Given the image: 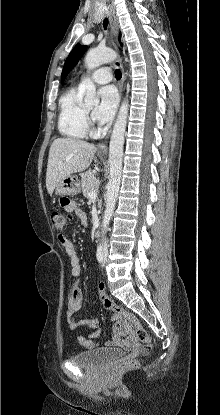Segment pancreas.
Masks as SVG:
<instances>
[{
	"label": "pancreas",
	"mask_w": 220,
	"mask_h": 415,
	"mask_svg": "<svg viewBox=\"0 0 220 415\" xmlns=\"http://www.w3.org/2000/svg\"><path fill=\"white\" fill-rule=\"evenodd\" d=\"M98 184L99 181L92 172L88 171L81 174L82 192L86 198H89V192L95 189ZM99 206H101V200L99 201Z\"/></svg>",
	"instance_id": "cf45deb5"
}]
</instances>
